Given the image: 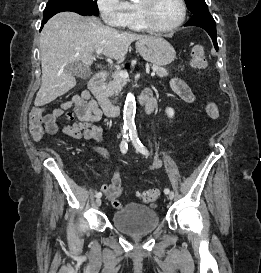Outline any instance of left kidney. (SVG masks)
I'll use <instances>...</instances> for the list:
<instances>
[{"mask_svg": "<svg viewBox=\"0 0 261 273\" xmlns=\"http://www.w3.org/2000/svg\"><path fill=\"white\" fill-rule=\"evenodd\" d=\"M165 112L170 118L174 116V110L172 108H167Z\"/></svg>", "mask_w": 261, "mask_h": 273, "instance_id": "left-kidney-1", "label": "left kidney"}]
</instances>
